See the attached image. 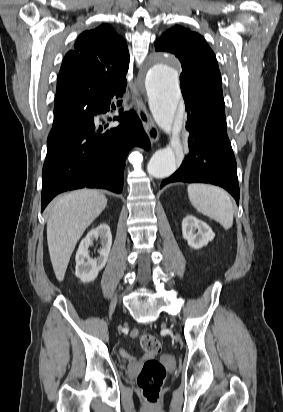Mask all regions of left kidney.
<instances>
[{
	"mask_svg": "<svg viewBox=\"0 0 283 412\" xmlns=\"http://www.w3.org/2000/svg\"><path fill=\"white\" fill-rule=\"evenodd\" d=\"M183 238L193 249H200L213 240L215 233L203 221L192 215L186 216L182 221Z\"/></svg>",
	"mask_w": 283,
	"mask_h": 412,
	"instance_id": "obj_1",
	"label": "left kidney"
}]
</instances>
